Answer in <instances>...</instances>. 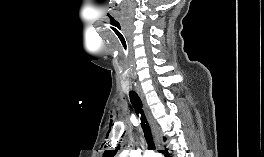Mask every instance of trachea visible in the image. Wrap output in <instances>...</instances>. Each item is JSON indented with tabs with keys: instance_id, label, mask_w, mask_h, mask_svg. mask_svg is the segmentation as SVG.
<instances>
[{
	"instance_id": "obj_1",
	"label": "trachea",
	"mask_w": 264,
	"mask_h": 157,
	"mask_svg": "<svg viewBox=\"0 0 264 157\" xmlns=\"http://www.w3.org/2000/svg\"><path fill=\"white\" fill-rule=\"evenodd\" d=\"M123 56H124V75L127 79H129L131 76V64L129 60V47L126 43H123ZM129 96L133 107L136 109L137 113L140 114L141 126L144 132L145 139L148 144V149L155 150L151 130L142 109L141 99L139 98L137 93L133 90H130Z\"/></svg>"
}]
</instances>
